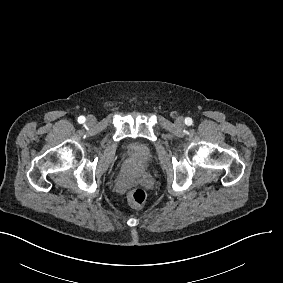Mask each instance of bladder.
<instances>
[{"mask_svg": "<svg viewBox=\"0 0 283 283\" xmlns=\"http://www.w3.org/2000/svg\"><path fill=\"white\" fill-rule=\"evenodd\" d=\"M122 148L128 159L139 162L142 167H146L151 163L153 148L150 143L146 141H128L124 143Z\"/></svg>", "mask_w": 283, "mask_h": 283, "instance_id": "obj_1", "label": "bladder"}]
</instances>
